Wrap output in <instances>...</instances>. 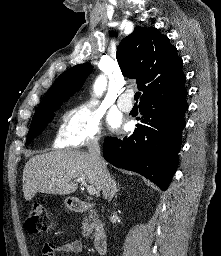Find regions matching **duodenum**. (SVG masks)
Listing matches in <instances>:
<instances>
[{"label":"duodenum","instance_id":"obj_1","mask_svg":"<svg viewBox=\"0 0 221 256\" xmlns=\"http://www.w3.org/2000/svg\"><path fill=\"white\" fill-rule=\"evenodd\" d=\"M71 207L75 212L93 211L94 203L86 202L80 199H74L71 202ZM93 245L99 254H105L107 251V235L103 228L99 227L93 234Z\"/></svg>","mask_w":221,"mask_h":256}]
</instances>
